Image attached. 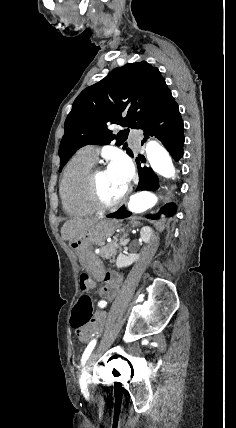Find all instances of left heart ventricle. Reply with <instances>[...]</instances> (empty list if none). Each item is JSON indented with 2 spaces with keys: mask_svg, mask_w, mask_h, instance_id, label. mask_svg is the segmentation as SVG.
Wrapping results in <instances>:
<instances>
[{
  "mask_svg": "<svg viewBox=\"0 0 236 428\" xmlns=\"http://www.w3.org/2000/svg\"><path fill=\"white\" fill-rule=\"evenodd\" d=\"M129 182L121 175L107 170L100 178L99 188L101 195L107 201L119 199L126 191Z\"/></svg>",
  "mask_w": 236,
  "mask_h": 428,
  "instance_id": "left-heart-ventricle-1",
  "label": "left heart ventricle"
}]
</instances>
